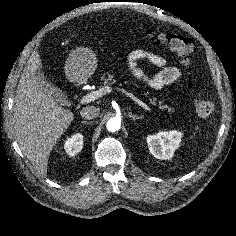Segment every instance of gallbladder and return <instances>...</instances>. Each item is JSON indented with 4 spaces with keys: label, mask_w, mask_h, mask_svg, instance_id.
I'll return each mask as SVG.
<instances>
[{
    "label": "gallbladder",
    "mask_w": 236,
    "mask_h": 236,
    "mask_svg": "<svg viewBox=\"0 0 236 236\" xmlns=\"http://www.w3.org/2000/svg\"><path fill=\"white\" fill-rule=\"evenodd\" d=\"M36 79L44 93L54 98L57 102L63 101V93L48 80L45 70L42 67L36 72Z\"/></svg>",
    "instance_id": "gallbladder-1"
}]
</instances>
